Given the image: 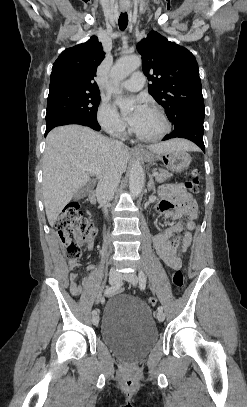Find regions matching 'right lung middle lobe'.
<instances>
[{
  "mask_svg": "<svg viewBox=\"0 0 247 407\" xmlns=\"http://www.w3.org/2000/svg\"><path fill=\"white\" fill-rule=\"evenodd\" d=\"M99 103V91L59 90L49 93L46 123L64 116L97 121Z\"/></svg>",
  "mask_w": 247,
  "mask_h": 407,
  "instance_id": "obj_1",
  "label": "right lung middle lobe"
}]
</instances>
